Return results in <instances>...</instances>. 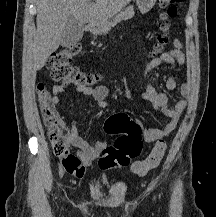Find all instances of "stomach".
<instances>
[{"label":"stomach","instance_id":"obj_1","mask_svg":"<svg viewBox=\"0 0 216 217\" xmlns=\"http://www.w3.org/2000/svg\"><path fill=\"white\" fill-rule=\"evenodd\" d=\"M136 4L138 6V9L140 10V12L142 14H145L147 12H149L153 6L155 5L157 0H135ZM94 33H101L102 31H104L102 25L101 26H97L95 28H93Z\"/></svg>","mask_w":216,"mask_h":217}]
</instances>
